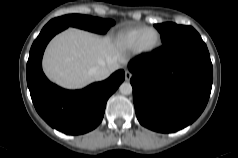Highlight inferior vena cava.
<instances>
[{
    "label": "inferior vena cava",
    "mask_w": 238,
    "mask_h": 158,
    "mask_svg": "<svg viewBox=\"0 0 238 158\" xmlns=\"http://www.w3.org/2000/svg\"><path fill=\"white\" fill-rule=\"evenodd\" d=\"M90 76H92L95 80H104L110 75V71L105 66H95L89 70Z\"/></svg>",
    "instance_id": "inferior-vena-cava-1"
}]
</instances>
